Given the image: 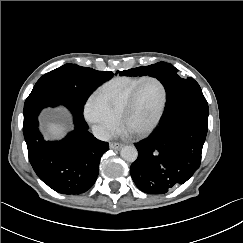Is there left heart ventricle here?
I'll return each mask as SVG.
<instances>
[{"label":"left heart ventricle","mask_w":243,"mask_h":243,"mask_svg":"<svg viewBox=\"0 0 243 243\" xmlns=\"http://www.w3.org/2000/svg\"><path fill=\"white\" fill-rule=\"evenodd\" d=\"M162 99V90L154 81L145 82L126 118V128L137 130L149 123Z\"/></svg>","instance_id":"obj_1"}]
</instances>
